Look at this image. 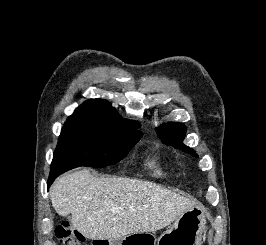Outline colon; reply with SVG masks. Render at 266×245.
<instances>
[{"label":"colon","mask_w":266,"mask_h":245,"mask_svg":"<svg viewBox=\"0 0 266 245\" xmlns=\"http://www.w3.org/2000/svg\"><path fill=\"white\" fill-rule=\"evenodd\" d=\"M56 232L62 245H83L85 242L84 236L77 230L71 228L68 221L61 223Z\"/></svg>","instance_id":"obj_1"}]
</instances>
